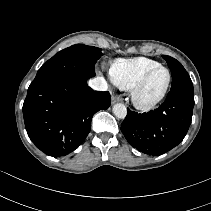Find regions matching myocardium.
Segmentation results:
<instances>
[{
    "label": "myocardium",
    "mask_w": 211,
    "mask_h": 211,
    "mask_svg": "<svg viewBox=\"0 0 211 211\" xmlns=\"http://www.w3.org/2000/svg\"><path fill=\"white\" fill-rule=\"evenodd\" d=\"M159 69H163L167 72L168 78H167V82L163 88V90L161 91V93L155 97L152 100H144L142 98V92L143 89L148 81V79L150 78V76L157 70ZM171 80H172V76H171V72L170 70L162 65H158L156 67H153L151 69H149L142 77L141 79L138 81V83L134 86V88L132 89V93H131V99H132V103L133 105L140 111H144V112H148L151 110H154L155 108H157L162 101L165 99L170 85H171Z\"/></svg>",
    "instance_id": "myocardium-1"
}]
</instances>
